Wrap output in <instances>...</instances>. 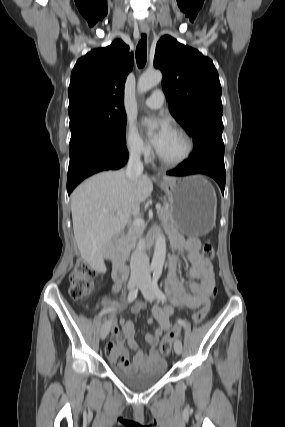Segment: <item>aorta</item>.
Masks as SVG:
<instances>
[{"label": "aorta", "mask_w": 285, "mask_h": 427, "mask_svg": "<svg viewBox=\"0 0 285 427\" xmlns=\"http://www.w3.org/2000/svg\"><path fill=\"white\" fill-rule=\"evenodd\" d=\"M162 81L160 71L146 72L138 79L137 90L143 94ZM166 257V240L165 237L158 233L155 241V249L151 262V267L155 270H162Z\"/></svg>", "instance_id": "1"}]
</instances>
